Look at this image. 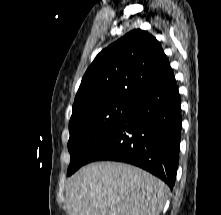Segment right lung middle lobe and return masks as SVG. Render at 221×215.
I'll list each match as a JSON object with an SVG mask.
<instances>
[{
    "instance_id": "obj_1",
    "label": "right lung middle lobe",
    "mask_w": 221,
    "mask_h": 215,
    "mask_svg": "<svg viewBox=\"0 0 221 215\" xmlns=\"http://www.w3.org/2000/svg\"><path fill=\"white\" fill-rule=\"evenodd\" d=\"M132 104L130 101L106 100L73 107L69 122L71 162L68 176L87 163L90 154L130 111Z\"/></svg>"
}]
</instances>
